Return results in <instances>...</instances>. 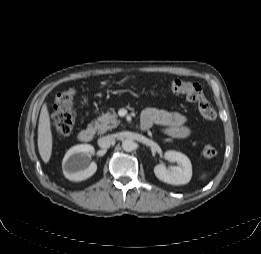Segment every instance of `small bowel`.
Returning <instances> with one entry per match:
<instances>
[{"mask_svg": "<svg viewBox=\"0 0 261 254\" xmlns=\"http://www.w3.org/2000/svg\"><path fill=\"white\" fill-rule=\"evenodd\" d=\"M186 123L187 117L183 114L155 108L144 110L141 116L143 129H148L154 124L159 125L165 134L177 139H186L190 136L191 130Z\"/></svg>", "mask_w": 261, "mask_h": 254, "instance_id": "small-bowel-1", "label": "small bowel"}]
</instances>
